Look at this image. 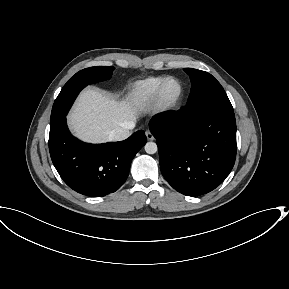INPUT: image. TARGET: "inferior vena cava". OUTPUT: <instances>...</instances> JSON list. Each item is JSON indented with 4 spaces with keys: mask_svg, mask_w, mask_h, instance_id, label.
<instances>
[{
    "mask_svg": "<svg viewBox=\"0 0 289 289\" xmlns=\"http://www.w3.org/2000/svg\"><path fill=\"white\" fill-rule=\"evenodd\" d=\"M135 127L133 122H128L122 127H117L114 130L110 131L109 138L113 141H121L129 137L130 130Z\"/></svg>",
    "mask_w": 289,
    "mask_h": 289,
    "instance_id": "1",
    "label": "inferior vena cava"
}]
</instances>
